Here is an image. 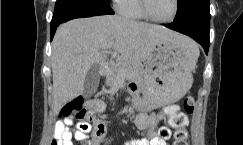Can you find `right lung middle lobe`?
<instances>
[{"mask_svg":"<svg viewBox=\"0 0 243 145\" xmlns=\"http://www.w3.org/2000/svg\"><path fill=\"white\" fill-rule=\"evenodd\" d=\"M102 1H105V2H108V3H110V0H102Z\"/></svg>","mask_w":243,"mask_h":145,"instance_id":"dd1d6c3e","label":"right lung middle lobe"}]
</instances>
